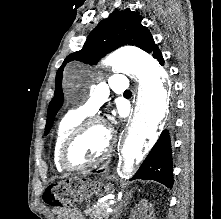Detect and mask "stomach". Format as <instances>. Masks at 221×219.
I'll return each mask as SVG.
<instances>
[{
  "mask_svg": "<svg viewBox=\"0 0 221 219\" xmlns=\"http://www.w3.org/2000/svg\"><path fill=\"white\" fill-rule=\"evenodd\" d=\"M68 183H80L81 186H75L69 199H74V204H89V199L93 195H100L102 191L109 192L113 189L111 184L99 182V178H68Z\"/></svg>",
  "mask_w": 221,
  "mask_h": 219,
  "instance_id": "0dacf381",
  "label": "stomach"
}]
</instances>
